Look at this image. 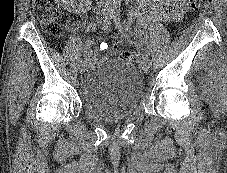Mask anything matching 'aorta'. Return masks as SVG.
<instances>
[{"mask_svg":"<svg viewBox=\"0 0 227 173\" xmlns=\"http://www.w3.org/2000/svg\"><path fill=\"white\" fill-rule=\"evenodd\" d=\"M112 2L120 3L122 0H111Z\"/></svg>","mask_w":227,"mask_h":173,"instance_id":"762f6f07","label":"aorta"}]
</instances>
